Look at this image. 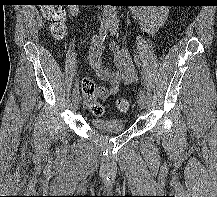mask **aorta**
Here are the masks:
<instances>
[{"instance_id": "762f6f07", "label": "aorta", "mask_w": 217, "mask_h": 197, "mask_svg": "<svg viewBox=\"0 0 217 197\" xmlns=\"http://www.w3.org/2000/svg\"><path fill=\"white\" fill-rule=\"evenodd\" d=\"M116 7L111 5L104 6V18L107 20H115L116 19Z\"/></svg>"}]
</instances>
